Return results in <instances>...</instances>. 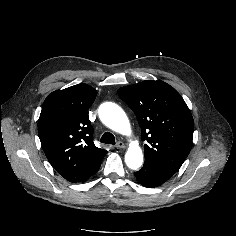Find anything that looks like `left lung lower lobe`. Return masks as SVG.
Returning <instances> with one entry per match:
<instances>
[{
	"label": "left lung lower lobe",
	"instance_id": "obj_1",
	"mask_svg": "<svg viewBox=\"0 0 236 236\" xmlns=\"http://www.w3.org/2000/svg\"><path fill=\"white\" fill-rule=\"evenodd\" d=\"M134 175L141 185L154 188L165 183L174 174L161 170L153 162L145 160L144 166Z\"/></svg>",
	"mask_w": 236,
	"mask_h": 236
}]
</instances>
